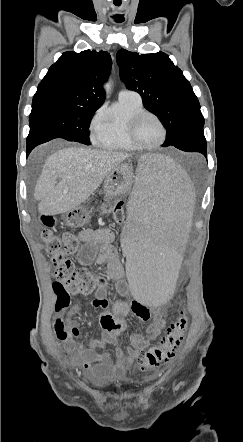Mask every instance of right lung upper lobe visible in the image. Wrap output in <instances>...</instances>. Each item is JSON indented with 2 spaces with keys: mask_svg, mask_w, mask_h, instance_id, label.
I'll use <instances>...</instances> for the list:
<instances>
[{
  "mask_svg": "<svg viewBox=\"0 0 243 442\" xmlns=\"http://www.w3.org/2000/svg\"><path fill=\"white\" fill-rule=\"evenodd\" d=\"M111 65V57L104 51L64 52L49 68L33 98L61 97L74 105L98 109L105 99L102 83Z\"/></svg>",
  "mask_w": 243,
  "mask_h": 442,
  "instance_id": "right-lung-upper-lobe-1",
  "label": "right lung upper lobe"
}]
</instances>
